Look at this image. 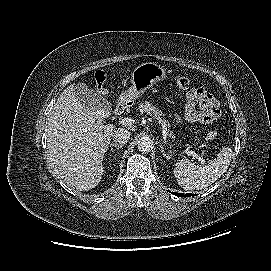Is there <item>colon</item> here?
<instances>
[{"mask_svg": "<svg viewBox=\"0 0 271 271\" xmlns=\"http://www.w3.org/2000/svg\"><path fill=\"white\" fill-rule=\"evenodd\" d=\"M175 84L177 85V87L181 88V89H188L190 87V80L187 77H177L175 79ZM99 91L100 93H104V88L102 86V81L100 80L99 82ZM217 137V132L215 130H211L207 133V138L210 140H213Z\"/></svg>", "mask_w": 271, "mask_h": 271, "instance_id": "5ec220e1", "label": "colon"}]
</instances>
